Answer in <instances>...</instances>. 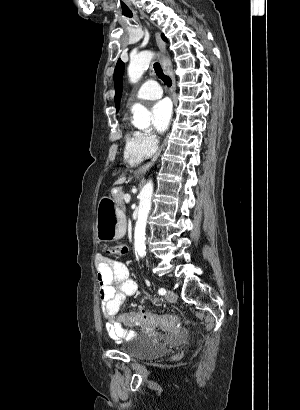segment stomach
<instances>
[{
	"label": "stomach",
	"mask_w": 300,
	"mask_h": 410,
	"mask_svg": "<svg viewBox=\"0 0 300 410\" xmlns=\"http://www.w3.org/2000/svg\"><path fill=\"white\" fill-rule=\"evenodd\" d=\"M126 219L116 203L110 198L99 201L97 208L96 232L100 241L111 242L125 234Z\"/></svg>",
	"instance_id": "stomach-1"
}]
</instances>
